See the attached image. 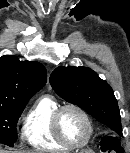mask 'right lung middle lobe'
<instances>
[{"mask_svg":"<svg viewBox=\"0 0 130 153\" xmlns=\"http://www.w3.org/2000/svg\"><path fill=\"white\" fill-rule=\"evenodd\" d=\"M22 105L0 104V143L12 147L17 140V121L25 108Z\"/></svg>","mask_w":130,"mask_h":153,"instance_id":"dd1d6c3e","label":"right lung middle lobe"}]
</instances>
